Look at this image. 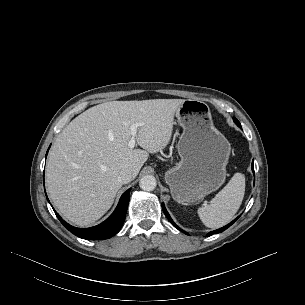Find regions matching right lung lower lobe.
Masks as SVG:
<instances>
[{
    "label": "right lung lower lobe",
    "mask_w": 305,
    "mask_h": 305,
    "mask_svg": "<svg viewBox=\"0 0 305 305\" xmlns=\"http://www.w3.org/2000/svg\"><path fill=\"white\" fill-rule=\"evenodd\" d=\"M129 193H130V189L125 191L121 196L118 206L116 207L112 215L104 222L94 227H90V228L73 227L68 223H66L55 210L54 212L57 218L60 220V222L74 235L88 240L107 239L117 234L123 225L129 203Z\"/></svg>",
    "instance_id": "obj_1"
}]
</instances>
